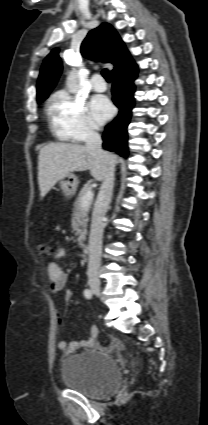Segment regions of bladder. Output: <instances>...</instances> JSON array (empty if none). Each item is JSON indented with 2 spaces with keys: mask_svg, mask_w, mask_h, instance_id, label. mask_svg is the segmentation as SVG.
<instances>
[{
  "mask_svg": "<svg viewBox=\"0 0 208 425\" xmlns=\"http://www.w3.org/2000/svg\"><path fill=\"white\" fill-rule=\"evenodd\" d=\"M61 376L69 389L91 398L110 396L122 380L118 364L100 350L65 357L61 362Z\"/></svg>",
  "mask_w": 208,
  "mask_h": 425,
  "instance_id": "31cf9c89",
  "label": "bladder"
}]
</instances>
